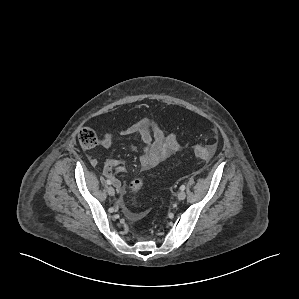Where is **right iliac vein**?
Returning <instances> with one entry per match:
<instances>
[{
	"label": "right iliac vein",
	"instance_id": "1",
	"mask_svg": "<svg viewBox=\"0 0 299 299\" xmlns=\"http://www.w3.org/2000/svg\"><path fill=\"white\" fill-rule=\"evenodd\" d=\"M107 192H108V194H109L110 196H114V195H115V190H114V188H113L112 186H109V187L107 188Z\"/></svg>",
	"mask_w": 299,
	"mask_h": 299
}]
</instances>
